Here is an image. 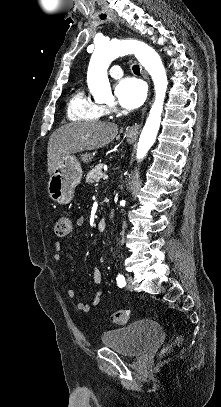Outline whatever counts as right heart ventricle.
Instances as JSON below:
<instances>
[{
    "mask_svg": "<svg viewBox=\"0 0 221 407\" xmlns=\"http://www.w3.org/2000/svg\"><path fill=\"white\" fill-rule=\"evenodd\" d=\"M107 113L105 107L88 97L82 87L76 88L67 102V118L71 121L100 120Z\"/></svg>",
    "mask_w": 221,
    "mask_h": 407,
    "instance_id": "1",
    "label": "right heart ventricle"
}]
</instances>
